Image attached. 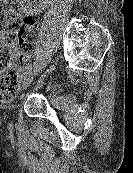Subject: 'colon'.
Instances as JSON below:
<instances>
[{
    "label": "colon",
    "mask_w": 133,
    "mask_h": 173,
    "mask_svg": "<svg viewBox=\"0 0 133 173\" xmlns=\"http://www.w3.org/2000/svg\"><path fill=\"white\" fill-rule=\"evenodd\" d=\"M1 2V1H0ZM34 22L0 4V100L10 101L19 85L17 63L31 49Z\"/></svg>",
    "instance_id": "1"
}]
</instances>
